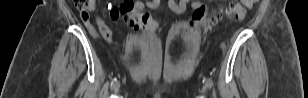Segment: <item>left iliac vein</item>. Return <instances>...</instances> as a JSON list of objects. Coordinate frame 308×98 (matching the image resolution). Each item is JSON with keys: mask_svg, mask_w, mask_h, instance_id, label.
Wrapping results in <instances>:
<instances>
[{"mask_svg": "<svg viewBox=\"0 0 308 98\" xmlns=\"http://www.w3.org/2000/svg\"><path fill=\"white\" fill-rule=\"evenodd\" d=\"M207 87H208L207 84H205L204 87H203V92L206 91Z\"/></svg>", "mask_w": 308, "mask_h": 98, "instance_id": "obj_1", "label": "left iliac vein"}]
</instances>
